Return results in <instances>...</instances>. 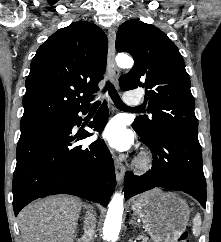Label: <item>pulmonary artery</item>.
I'll return each instance as SVG.
<instances>
[{"label":"pulmonary artery","instance_id":"e3ab8cb5","mask_svg":"<svg viewBox=\"0 0 221 242\" xmlns=\"http://www.w3.org/2000/svg\"><path fill=\"white\" fill-rule=\"evenodd\" d=\"M132 96H133V92H128L127 94H125L124 99L130 105H136V104H138L139 101L137 99H134Z\"/></svg>","mask_w":221,"mask_h":242}]
</instances>
